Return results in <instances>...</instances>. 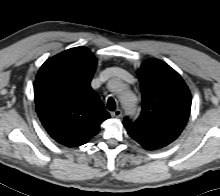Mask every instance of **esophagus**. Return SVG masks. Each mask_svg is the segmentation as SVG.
Returning a JSON list of instances; mask_svg holds the SVG:
<instances>
[{"mask_svg": "<svg viewBox=\"0 0 220 196\" xmlns=\"http://www.w3.org/2000/svg\"><path fill=\"white\" fill-rule=\"evenodd\" d=\"M112 117L121 118L123 113L120 109H116L115 111L111 112Z\"/></svg>", "mask_w": 220, "mask_h": 196, "instance_id": "obj_1", "label": "esophagus"}]
</instances>
